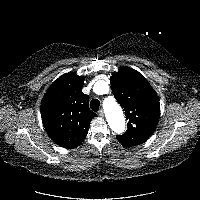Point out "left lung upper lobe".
<instances>
[{"label": "left lung upper lobe", "instance_id": "left-lung-upper-lobe-1", "mask_svg": "<svg viewBox=\"0 0 200 200\" xmlns=\"http://www.w3.org/2000/svg\"><path fill=\"white\" fill-rule=\"evenodd\" d=\"M112 92L128 119L127 131L118 135L125 147L144 143L155 130L160 102L148 81L136 70L122 67L111 77Z\"/></svg>", "mask_w": 200, "mask_h": 200}]
</instances>
